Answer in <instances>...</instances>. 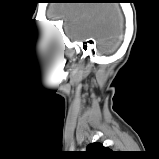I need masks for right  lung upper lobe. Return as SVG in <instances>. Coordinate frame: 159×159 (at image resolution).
Masks as SVG:
<instances>
[{"label":"right lung upper lobe","instance_id":"right-lung-upper-lobe-1","mask_svg":"<svg viewBox=\"0 0 159 159\" xmlns=\"http://www.w3.org/2000/svg\"><path fill=\"white\" fill-rule=\"evenodd\" d=\"M110 150L104 147L100 143H91L87 147V154L90 156L88 159H97V157L102 156L105 152H109Z\"/></svg>","mask_w":159,"mask_h":159}]
</instances>
